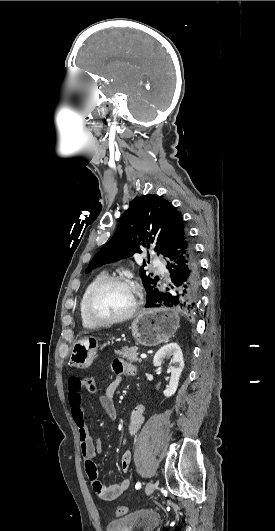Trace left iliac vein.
<instances>
[{
  "mask_svg": "<svg viewBox=\"0 0 275 531\" xmlns=\"http://www.w3.org/2000/svg\"><path fill=\"white\" fill-rule=\"evenodd\" d=\"M155 488H156V484L155 483L148 482L146 487H145V493L147 495H151L154 492Z\"/></svg>",
  "mask_w": 275,
  "mask_h": 531,
  "instance_id": "1",
  "label": "left iliac vein"
}]
</instances>
